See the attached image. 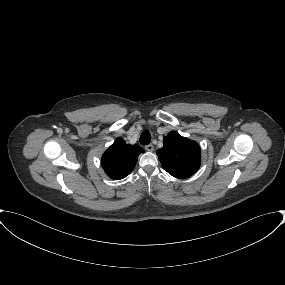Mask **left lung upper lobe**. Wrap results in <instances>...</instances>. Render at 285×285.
Returning a JSON list of instances; mask_svg holds the SVG:
<instances>
[{
    "instance_id": "left-lung-upper-lobe-1",
    "label": "left lung upper lobe",
    "mask_w": 285,
    "mask_h": 285,
    "mask_svg": "<svg viewBox=\"0 0 285 285\" xmlns=\"http://www.w3.org/2000/svg\"><path fill=\"white\" fill-rule=\"evenodd\" d=\"M157 155L164 170L176 178H188L200 167L199 145L175 131L164 137Z\"/></svg>"
}]
</instances>
